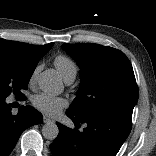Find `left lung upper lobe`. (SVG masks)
<instances>
[{
	"mask_svg": "<svg viewBox=\"0 0 156 156\" xmlns=\"http://www.w3.org/2000/svg\"><path fill=\"white\" fill-rule=\"evenodd\" d=\"M62 47L81 68V85L67 111L75 115L118 111L132 117L138 88L127 56L98 44L65 43Z\"/></svg>",
	"mask_w": 156,
	"mask_h": 156,
	"instance_id": "1",
	"label": "left lung upper lobe"
}]
</instances>
